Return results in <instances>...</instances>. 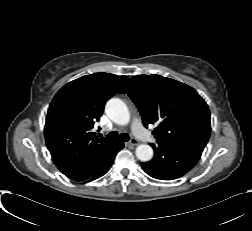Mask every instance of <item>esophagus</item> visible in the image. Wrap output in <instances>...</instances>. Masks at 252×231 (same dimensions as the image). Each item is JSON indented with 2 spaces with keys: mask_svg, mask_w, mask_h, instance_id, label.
Instances as JSON below:
<instances>
[{
  "mask_svg": "<svg viewBox=\"0 0 252 231\" xmlns=\"http://www.w3.org/2000/svg\"><path fill=\"white\" fill-rule=\"evenodd\" d=\"M138 144V141L134 138H132L129 142L126 143V145H129V146H135Z\"/></svg>",
  "mask_w": 252,
  "mask_h": 231,
  "instance_id": "1",
  "label": "esophagus"
}]
</instances>
